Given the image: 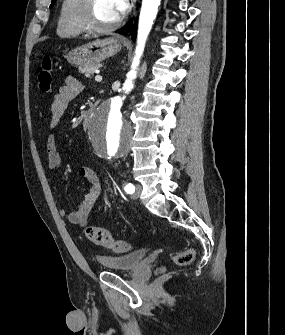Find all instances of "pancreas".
I'll return each mask as SVG.
<instances>
[{
	"label": "pancreas",
	"instance_id": "pancreas-1",
	"mask_svg": "<svg viewBox=\"0 0 285 335\" xmlns=\"http://www.w3.org/2000/svg\"><path fill=\"white\" fill-rule=\"evenodd\" d=\"M100 66L98 64H92V66H83V68H79V72L81 74H85L87 78H91L93 76L94 70H99Z\"/></svg>",
	"mask_w": 285,
	"mask_h": 335
}]
</instances>
